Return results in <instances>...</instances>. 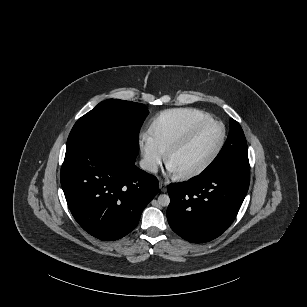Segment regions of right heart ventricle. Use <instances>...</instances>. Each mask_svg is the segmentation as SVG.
<instances>
[{
	"instance_id": "right-heart-ventricle-1",
	"label": "right heart ventricle",
	"mask_w": 307,
	"mask_h": 307,
	"mask_svg": "<svg viewBox=\"0 0 307 307\" xmlns=\"http://www.w3.org/2000/svg\"><path fill=\"white\" fill-rule=\"evenodd\" d=\"M212 117L193 108L169 109L161 112L150 124L149 133L163 152L183 140Z\"/></svg>"
}]
</instances>
